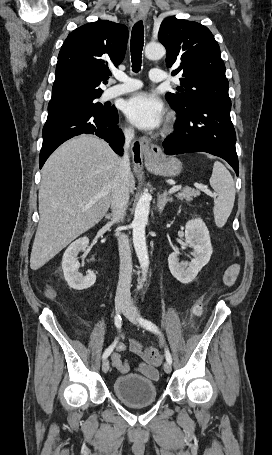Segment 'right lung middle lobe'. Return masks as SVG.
<instances>
[{
    "label": "right lung middle lobe",
    "instance_id": "dd1d6c3e",
    "mask_svg": "<svg viewBox=\"0 0 272 455\" xmlns=\"http://www.w3.org/2000/svg\"><path fill=\"white\" fill-rule=\"evenodd\" d=\"M100 96L101 94L79 96L49 102L48 117L72 111L98 112L102 114L110 113L114 107L103 106L101 103H99L97 100Z\"/></svg>",
    "mask_w": 272,
    "mask_h": 455
}]
</instances>
